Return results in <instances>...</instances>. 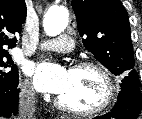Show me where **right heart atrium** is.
Wrapping results in <instances>:
<instances>
[{
  "mask_svg": "<svg viewBox=\"0 0 142 119\" xmlns=\"http://www.w3.org/2000/svg\"><path fill=\"white\" fill-rule=\"evenodd\" d=\"M21 94L24 98L33 99L35 96V92L28 81H24L21 84Z\"/></svg>",
  "mask_w": 142,
  "mask_h": 119,
  "instance_id": "obj_1",
  "label": "right heart atrium"
}]
</instances>
